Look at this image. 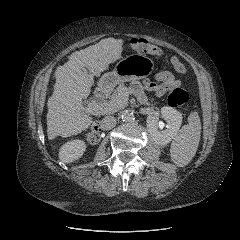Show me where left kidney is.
<instances>
[{
    "instance_id": "obj_1",
    "label": "left kidney",
    "mask_w": 240,
    "mask_h": 240,
    "mask_svg": "<svg viewBox=\"0 0 240 240\" xmlns=\"http://www.w3.org/2000/svg\"><path fill=\"white\" fill-rule=\"evenodd\" d=\"M161 115L167 123L165 130H158V118L153 115L147 117L146 125L151 138L159 145H166L177 135L182 124V114L172 107L165 106L161 108Z\"/></svg>"
}]
</instances>
